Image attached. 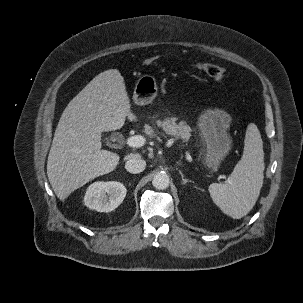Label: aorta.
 I'll return each instance as SVG.
<instances>
[{"label":"aorta","instance_id":"762f6f07","mask_svg":"<svg viewBox=\"0 0 303 303\" xmlns=\"http://www.w3.org/2000/svg\"><path fill=\"white\" fill-rule=\"evenodd\" d=\"M152 184L156 189L164 190L169 186V176L164 172L157 173L153 177Z\"/></svg>","mask_w":303,"mask_h":303}]
</instances>
